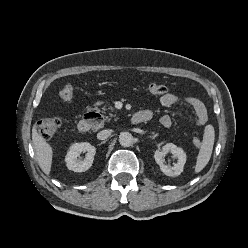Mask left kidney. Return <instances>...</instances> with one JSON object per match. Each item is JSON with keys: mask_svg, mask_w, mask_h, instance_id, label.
I'll return each instance as SVG.
<instances>
[{"mask_svg": "<svg viewBox=\"0 0 248 248\" xmlns=\"http://www.w3.org/2000/svg\"><path fill=\"white\" fill-rule=\"evenodd\" d=\"M170 152L177 158V163L173 166L166 165L164 163L165 155ZM154 158L156 163L159 165L160 170L167 176H178L183 172V168L186 162V154L182 148H179L173 143H167L162 149H157L154 152Z\"/></svg>", "mask_w": 248, "mask_h": 248, "instance_id": "left-kidney-1", "label": "left kidney"}]
</instances>
